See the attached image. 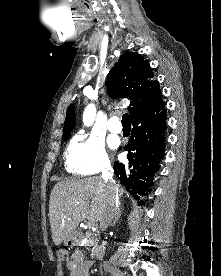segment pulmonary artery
Here are the masks:
<instances>
[{
	"instance_id": "e3ab8cb5",
	"label": "pulmonary artery",
	"mask_w": 221,
	"mask_h": 276,
	"mask_svg": "<svg viewBox=\"0 0 221 276\" xmlns=\"http://www.w3.org/2000/svg\"><path fill=\"white\" fill-rule=\"evenodd\" d=\"M107 127H108V130L113 133H120L122 130L121 123L117 116H114L109 119V121L107 123Z\"/></svg>"
}]
</instances>
